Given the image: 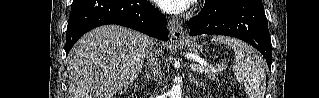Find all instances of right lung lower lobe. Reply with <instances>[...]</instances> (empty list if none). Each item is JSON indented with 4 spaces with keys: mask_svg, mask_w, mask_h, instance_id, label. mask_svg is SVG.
Masks as SVG:
<instances>
[{
    "mask_svg": "<svg viewBox=\"0 0 319 98\" xmlns=\"http://www.w3.org/2000/svg\"><path fill=\"white\" fill-rule=\"evenodd\" d=\"M106 24L122 25L168 40L166 17L145 0H73L66 32V54L83 34Z\"/></svg>",
    "mask_w": 319,
    "mask_h": 98,
    "instance_id": "1",
    "label": "right lung lower lobe"
}]
</instances>
